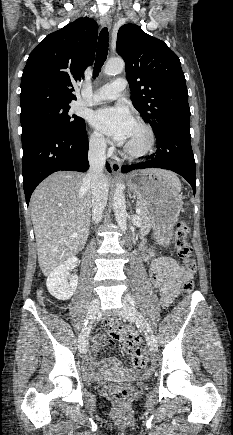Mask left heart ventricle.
Wrapping results in <instances>:
<instances>
[{"label": "left heart ventricle", "mask_w": 233, "mask_h": 435, "mask_svg": "<svg viewBox=\"0 0 233 435\" xmlns=\"http://www.w3.org/2000/svg\"><path fill=\"white\" fill-rule=\"evenodd\" d=\"M146 141V132L143 128L134 123L129 136L123 145L130 150L137 151L145 145Z\"/></svg>", "instance_id": "1"}]
</instances>
